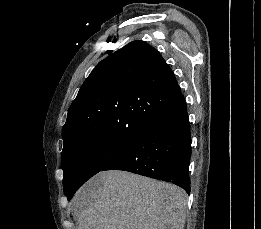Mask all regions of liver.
<instances>
[{
  "label": "liver",
  "mask_w": 261,
  "mask_h": 229,
  "mask_svg": "<svg viewBox=\"0 0 261 229\" xmlns=\"http://www.w3.org/2000/svg\"><path fill=\"white\" fill-rule=\"evenodd\" d=\"M187 195L176 185L103 171L71 201L78 229H184Z\"/></svg>",
  "instance_id": "obj_1"
}]
</instances>
